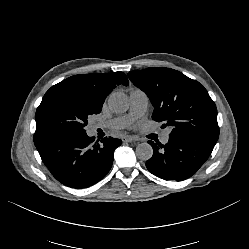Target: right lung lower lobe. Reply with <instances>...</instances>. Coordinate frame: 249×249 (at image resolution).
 <instances>
[{
  "instance_id": "1",
  "label": "right lung lower lobe",
  "mask_w": 249,
  "mask_h": 249,
  "mask_svg": "<svg viewBox=\"0 0 249 249\" xmlns=\"http://www.w3.org/2000/svg\"><path fill=\"white\" fill-rule=\"evenodd\" d=\"M34 143L42 161L59 182L72 188H86L109 172L114 150L121 140L105 137L97 143L95 137L85 132L34 138Z\"/></svg>"
}]
</instances>
